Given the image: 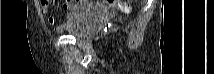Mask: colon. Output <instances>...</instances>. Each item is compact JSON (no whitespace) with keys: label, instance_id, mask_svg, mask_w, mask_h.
Segmentation results:
<instances>
[{"label":"colon","instance_id":"5ec220e1","mask_svg":"<svg viewBox=\"0 0 214 74\" xmlns=\"http://www.w3.org/2000/svg\"><path fill=\"white\" fill-rule=\"evenodd\" d=\"M114 6L119 8L120 10H122L124 12H127L130 9L129 6L126 3L119 2V1H115L114 2Z\"/></svg>","mask_w":214,"mask_h":74}]
</instances>
